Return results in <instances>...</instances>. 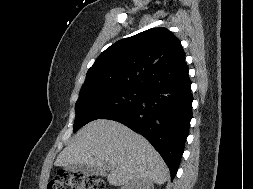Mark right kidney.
<instances>
[{"instance_id": "ca27d5eb", "label": "right kidney", "mask_w": 253, "mask_h": 189, "mask_svg": "<svg viewBox=\"0 0 253 189\" xmlns=\"http://www.w3.org/2000/svg\"><path fill=\"white\" fill-rule=\"evenodd\" d=\"M121 189H154V186L151 181L136 179L125 184Z\"/></svg>"}]
</instances>
